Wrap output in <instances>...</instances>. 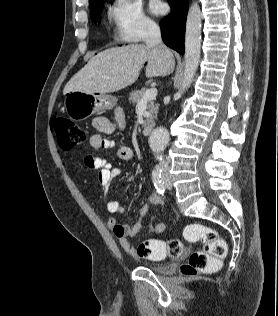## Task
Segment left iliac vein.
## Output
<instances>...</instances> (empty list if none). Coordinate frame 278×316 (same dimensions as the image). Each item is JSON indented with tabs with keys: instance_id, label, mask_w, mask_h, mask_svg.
Returning <instances> with one entry per match:
<instances>
[{
	"instance_id": "1",
	"label": "left iliac vein",
	"mask_w": 278,
	"mask_h": 316,
	"mask_svg": "<svg viewBox=\"0 0 278 316\" xmlns=\"http://www.w3.org/2000/svg\"><path fill=\"white\" fill-rule=\"evenodd\" d=\"M163 182H164L165 186H166L168 189H171V188H172V184H171V182H170V180H169V178H168L167 175H164V176H163Z\"/></svg>"
}]
</instances>
